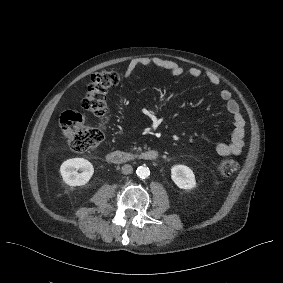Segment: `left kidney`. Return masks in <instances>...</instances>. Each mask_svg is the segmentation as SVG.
<instances>
[{
  "instance_id": "left-kidney-1",
  "label": "left kidney",
  "mask_w": 283,
  "mask_h": 283,
  "mask_svg": "<svg viewBox=\"0 0 283 283\" xmlns=\"http://www.w3.org/2000/svg\"><path fill=\"white\" fill-rule=\"evenodd\" d=\"M171 179L180 189L190 190L196 186L193 171L185 165L173 166L171 168Z\"/></svg>"
}]
</instances>
